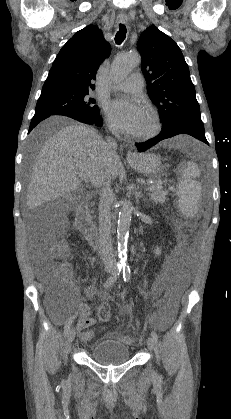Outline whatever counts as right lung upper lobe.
<instances>
[{"label": "right lung upper lobe", "mask_w": 231, "mask_h": 419, "mask_svg": "<svg viewBox=\"0 0 231 419\" xmlns=\"http://www.w3.org/2000/svg\"><path fill=\"white\" fill-rule=\"evenodd\" d=\"M110 51L111 46L98 27L89 25L83 28L62 47L44 86L94 89L97 70Z\"/></svg>", "instance_id": "right-lung-upper-lobe-1"}]
</instances>
